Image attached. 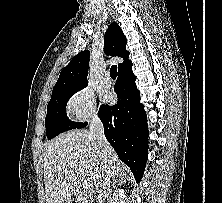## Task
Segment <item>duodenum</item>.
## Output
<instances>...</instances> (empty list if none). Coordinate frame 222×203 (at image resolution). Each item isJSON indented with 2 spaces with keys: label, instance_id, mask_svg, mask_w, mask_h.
Segmentation results:
<instances>
[{
  "label": "duodenum",
  "instance_id": "obj_1",
  "mask_svg": "<svg viewBox=\"0 0 222 203\" xmlns=\"http://www.w3.org/2000/svg\"><path fill=\"white\" fill-rule=\"evenodd\" d=\"M77 197L80 203H92L91 199L84 193H78Z\"/></svg>",
  "mask_w": 222,
  "mask_h": 203
}]
</instances>
